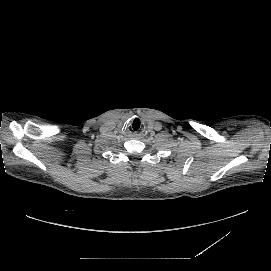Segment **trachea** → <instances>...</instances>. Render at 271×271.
I'll return each instance as SVG.
<instances>
[{
    "label": "trachea",
    "instance_id": "obj_1",
    "mask_svg": "<svg viewBox=\"0 0 271 271\" xmlns=\"http://www.w3.org/2000/svg\"><path fill=\"white\" fill-rule=\"evenodd\" d=\"M130 125L134 131H139L142 128V123L136 119L132 120Z\"/></svg>",
    "mask_w": 271,
    "mask_h": 271
}]
</instances>
